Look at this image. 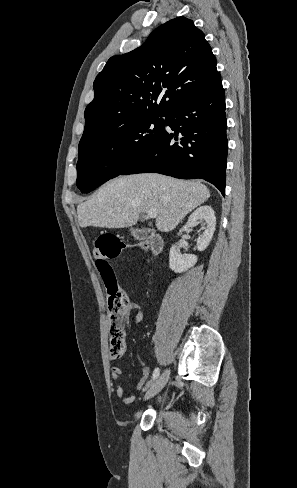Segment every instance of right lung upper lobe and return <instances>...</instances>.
<instances>
[{"label":"right lung upper lobe","instance_id":"1","mask_svg":"<svg viewBox=\"0 0 297 488\" xmlns=\"http://www.w3.org/2000/svg\"><path fill=\"white\" fill-rule=\"evenodd\" d=\"M220 78L203 32L188 18L172 19L139 48L108 60L94 81L81 139H95L145 117H165Z\"/></svg>","mask_w":297,"mask_h":488}]
</instances>
